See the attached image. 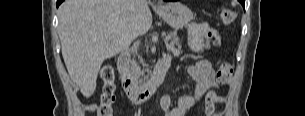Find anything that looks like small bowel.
Wrapping results in <instances>:
<instances>
[{"instance_id": "obj_1", "label": "small bowel", "mask_w": 305, "mask_h": 116, "mask_svg": "<svg viewBox=\"0 0 305 116\" xmlns=\"http://www.w3.org/2000/svg\"><path fill=\"white\" fill-rule=\"evenodd\" d=\"M189 75L195 80V92L191 96H180L173 105L170 96H164L160 100V107L165 116H188L194 106L204 100V109L206 116H220L215 113L217 104L225 101L223 96L217 95V84L215 82L214 70L211 63L207 60L198 61L189 66Z\"/></svg>"}]
</instances>
